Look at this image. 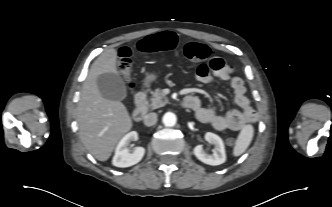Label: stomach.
Segmentation results:
<instances>
[{
  "label": "stomach",
  "mask_w": 332,
  "mask_h": 207,
  "mask_svg": "<svg viewBox=\"0 0 332 207\" xmlns=\"http://www.w3.org/2000/svg\"><path fill=\"white\" fill-rule=\"evenodd\" d=\"M158 78V74L155 73V72H152V73H148L144 79V84L145 85H149L151 84L152 82L156 81Z\"/></svg>",
  "instance_id": "1"
}]
</instances>
